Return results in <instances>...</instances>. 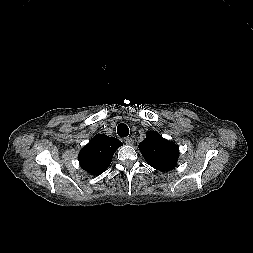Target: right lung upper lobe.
<instances>
[{
  "label": "right lung upper lobe",
  "mask_w": 253,
  "mask_h": 253,
  "mask_svg": "<svg viewBox=\"0 0 253 253\" xmlns=\"http://www.w3.org/2000/svg\"><path fill=\"white\" fill-rule=\"evenodd\" d=\"M119 146H122V142L114 137L96 135L79 153L81 167L92 175L103 173Z\"/></svg>",
  "instance_id": "cb5924a9"
}]
</instances>
